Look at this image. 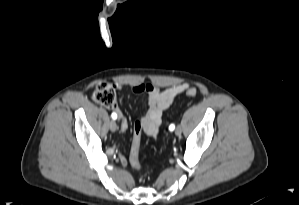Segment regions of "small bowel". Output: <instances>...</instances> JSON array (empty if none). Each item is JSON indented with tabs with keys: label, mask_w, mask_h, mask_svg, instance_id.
Wrapping results in <instances>:
<instances>
[{
	"label": "small bowel",
	"mask_w": 299,
	"mask_h": 205,
	"mask_svg": "<svg viewBox=\"0 0 299 205\" xmlns=\"http://www.w3.org/2000/svg\"><path fill=\"white\" fill-rule=\"evenodd\" d=\"M116 87L120 88V85H116ZM187 88V84L173 85L163 90L149 83L134 85L132 87L133 92L146 93L148 100V109L143 117L142 132L150 137H156L165 112L171 106L175 98ZM119 120L120 133L122 134L128 128V121L123 115L119 116ZM119 158L122 165L126 166L129 163L128 159L121 153L119 154Z\"/></svg>",
	"instance_id": "1"
}]
</instances>
